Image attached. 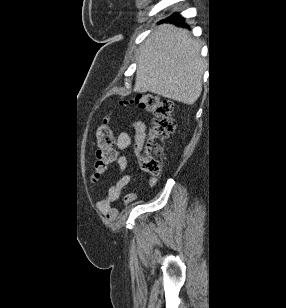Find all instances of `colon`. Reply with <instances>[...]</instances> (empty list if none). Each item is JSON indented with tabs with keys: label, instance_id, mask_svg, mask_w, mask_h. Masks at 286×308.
<instances>
[{
	"label": "colon",
	"instance_id": "1",
	"mask_svg": "<svg viewBox=\"0 0 286 308\" xmlns=\"http://www.w3.org/2000/svg\"><path fill=\"white\" fill-rule=\"evenodd\" d=\"M135 104L140 109L151 114V129L144 146L141 166L145 173L156 177L161 171L162 143L176 129L172 118L173 102L155 94H140L134 99L125 100L122 105ZM96 160L93 167L92 181H98L115 160V136L111 120L105 117L96 131Z\"/></svg>",
	"mask_w": 286,
	"mask_h": 308
}]
</instances>
